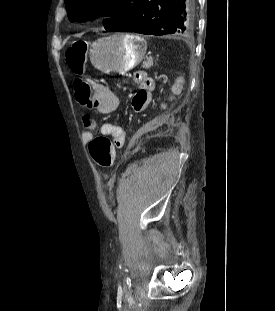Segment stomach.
I'll return each mask as SVG.
<instances>
[{
	"mask_svg": "<svg viewBox=\"0 0 275 311\" xmlns=\"http://www.w3.org/2000/svg\"><path fill=\"white\" fill-rule=\"evenodd\" d=\"M146 50L147 43L140 36L117 33L93 42L89 55L102 73L124 75L142 61Z\"/></svg>",
	"mask_w": 275,
	"mask_h": 311,
	"instance_id": "1",
	"label": "stomach"
}]
</instances>
